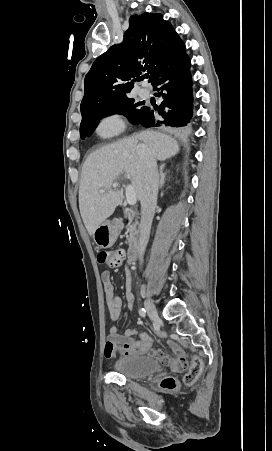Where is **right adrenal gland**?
I'll use <instances>...</instances> for the list:
<instances>
[{"instance_id": "right-adrenal-gland-1", "label": "right adrenal gland", "mask_w": 272, "mask_h": 451, "mask_svg": "<svg viewBox=\"0 0 272 451\" xmlns=\"http://www.w3.org/2000/svg\"><path fill=\"white\" fill-rule=\"evenodd\" d=\"M164 166H165V164H163V166H161V170H160V188H162L163 184H165V174H163V172H162Z\"/></svg>"}]
</instances>
